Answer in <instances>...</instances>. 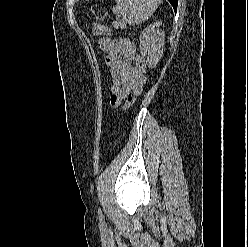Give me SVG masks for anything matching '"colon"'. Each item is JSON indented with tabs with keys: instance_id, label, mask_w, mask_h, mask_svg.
<instances>
[{
	"instance_id": "1",
	"label": "colon",
	"mask_w": 248,
	"mask_h": 247,
	"mask_svg": "<svg viewBox=\"0 0 248 247\" xmlns=\"http://www.w3.org/2000/svg\"><path fill=\"white\" fill-rule=\"evenodd\" d=\"M92 30H93V34H95V35H112V31L108 27H106L102 24H99V23H95L93 25ZM135 66H136L137 70L140 72V74L143 75L145 73L146 63L141 56H139L136 59Z\"/></svg>"
}]
</instances>
